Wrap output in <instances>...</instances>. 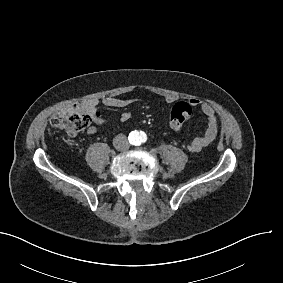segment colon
Masks as SVG:
<instances>
[{
  "instance_id": "5ec220e1",
  "label": "colon",
  "mask_w": 283,
  "mask_h": 283,
  "mask_svg": "<svg viewBox=\"0 0 283 283\" xmlns=\"http://www.w3.org/2000/svg\"><path fill=\"white\" fill-rule=\"evenodd\" d=\"M78 110V105L73 104L68 108L54 112L51 118V130H62L70 136H75L87 129L90 124L88 115ZM190 112L191 108L187 104L174 103L169 114V128L174 131L178 130L182 123H187L190 120Z\"/></svg>"
}]
</instances>
